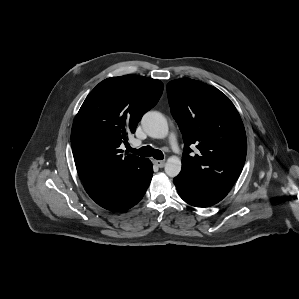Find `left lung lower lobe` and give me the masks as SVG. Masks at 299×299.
I'll return each mask as SVG.
<instances>
[{
    "label": "left lung lower lobe",
    "instance_id": "0a47b994",
    "mask_svg": "<svg viewBox=\"0 0 299 299\" xmlns=\"http://www.w3.org/2000/svg\"><path fill=\"white\" fill-rule=\"evenodd\" d=\"M173 181L180 197L188 204L196 207L212 206L228 194L224 190L190 179L181 173Z\"/></svg>",
    "mask_w": 299,
    "mask_h": 299
}]
</instances>
